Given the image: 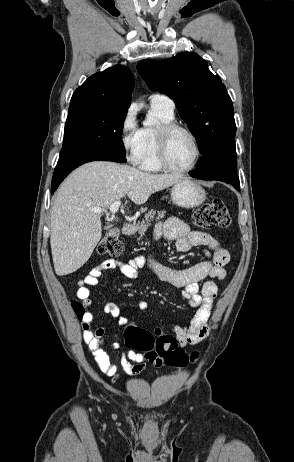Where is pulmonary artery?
Wrapping results in <instances>:
<instances>
[{
	"instance_id": "e3ab8cb5",
	"label": "pulmonary artery",
	"mask_w": 294,
	"mask_h": 462,
	"mask_svg": "<svg viewBox=\"0 0 294 462\" xmlns=\"http://www.w3.org/2000/svg\"><path fill=\"white\" fill-rule=\"evenodd\" d=\"M151 107L163 109L169 113H174L175 104L173 100L164 94H153L150 96Z\"/></svg>"
}]
</instances>
